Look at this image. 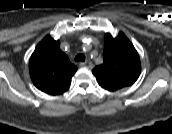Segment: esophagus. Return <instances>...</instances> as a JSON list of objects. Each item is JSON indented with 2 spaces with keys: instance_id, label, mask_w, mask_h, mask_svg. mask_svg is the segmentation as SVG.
<instances>
[{
  "instance_id": "esophagus-1",
  "label": "esophagus",
  "mask_w": 172,
  "mask_h": 134,
  "mask_svg": "<svg viewBox=\"0 0 172 134\" xmlns=\"http://www.w3.org/2000/svg\"><path fill=\"white\" fill-rule=\"evenodd\" d=\"M81 67H88V68H93V64L91 61H85L79 64Z\"/></svg>"
}]
</instances>
